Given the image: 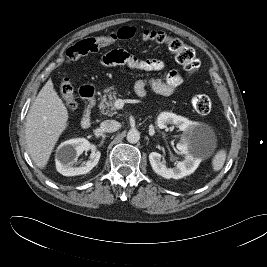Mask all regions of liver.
<instances>
[{
	"label": "liver",
	"instance_id": "obj_1",
	"mask_svg": "<svg viewBox=\"0 0 267 267\" xmlns=\"http://www.w3.org/2000/svg\"><path fill=\"white\" fill-rule=\"evenodd\" d=\"M68 118V110L49 79L26 117L27 150L40 169L46 167L56 142L68 126Z\"/></svg>",
	"mask_w": 267,
	"mask_h": 267
}]
</instances>
